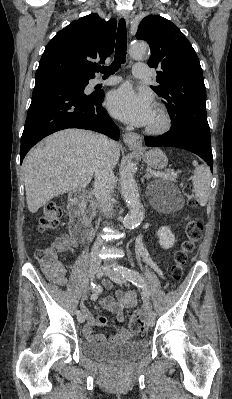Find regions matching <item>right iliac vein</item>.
I'll use <instances>...</instances> for the list:
<instances>
[{
	"instance_id": "63e3f726",
	"label": "right iliac vein",
	"mask_w": 232,
	"mask_h": 399,
	"mask_svg": "<svg viewBox=\"0 0 232 399\" xmlns=\"http://www.w3.org/2000/svg\"><path fill=\"white\" fill-rule=\"evenodd\" d=\"M97 270H100V261H89V272L91 277L97 276ZM79 324L84 322L83 316L79 315L76 317Z\"/></svg>"
}]
</instances>
